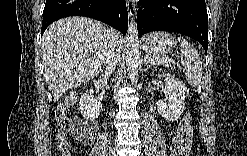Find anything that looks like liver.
<instances>
[{
  "label": "liver",
  "mask_w": 247,
  "mask_h": 156,
  "mask_svg": "<svg viewBox=\"0 0 247 156\" xmlns=\"http://www.w3.org/2000/svg\"><path fill=\"white\" fill-rule=\"evenodd\" d=\"M110 29L86 17L60 19L47 28L42 38L43 64L54 102L99 74ZM116 35L121 45L123 37Z\"/></svg>",
  "instance_id": "liver-1"
}]
</instances>
